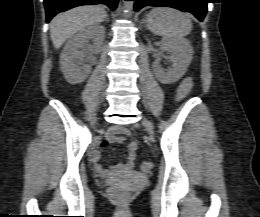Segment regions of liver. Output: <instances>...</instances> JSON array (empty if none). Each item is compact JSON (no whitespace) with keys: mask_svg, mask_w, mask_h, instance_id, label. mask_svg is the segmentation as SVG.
Segmentation results:
<instances>
[{"mask_svg":"<svg viewBox=\"0 0 260 217\" xmlns=\"http://www.w3.org/2000/svg\"><path fill=\"white\" fill-rule=\"evenodd\" d=\"M107 13L100 6H80L56 15L50 22V37L56 49L74 33L86 26L102 22Z\"/></svg>","mask_w":260,"mask_h":217,"instance_id":"6515ba94","label":"liver"}]
</instances>
